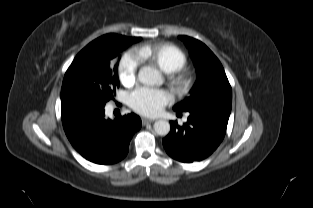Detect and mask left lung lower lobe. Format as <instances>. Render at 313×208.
Wrapping results in <instances>:
<instances>
[{"mask_svg": "<svg viewBox=\"0 0 313 208\" xmlns=\"http://www.w3.org/2000/svg\"><path fill=\"white\" fill-rule=\"evenodd\" d=\"M189 113L183 126L171 121V131L163 139L168 155L184 163L201 161L213 153L225 136L230 116L228 112L211 109Z\"/></svg>", "mask_w": 313, "mask_h": 208, "instance_id": "1", "label": "left lung lower lobe"}]
</instances>
